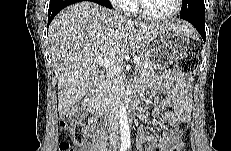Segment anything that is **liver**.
<instances>
[{"label": "liver", "instance_id": "1", "mask_svg": "<svg viewBox=\"0 0 231 151\" xmlns=\"http://www.w3.org/2000/svg\"><path fill=\"white\" fill-rule=\"evenodd\" d=\"M168 24L188 36L195 33L183 20L141 23L90 1L64 8L48 29L59 116H64L98 82L100 72L94 59L102 55L118 63L132 50L144 52L152 36Z\"/></svg>", "mask_w": 231, "mask_h": 151}]
</instances>
